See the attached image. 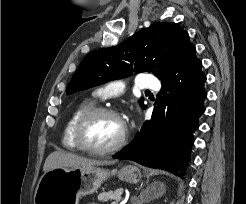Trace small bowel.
<instances>
[{
	"instance_id": "c3829d8e",
	"label": "small bowel",
	"mask_w": 246,
	"mask_h": 204,
	"mask_svg": "<svg viewBox=\"0 0 246 204\" xmlns=\"http://www.w3.org/2000/svg\"><path fill=\"white\" fill-rule=\"evenodd\" d=\"M89 204H97V203H89Z\"/></svg>"
}]
</instances>
